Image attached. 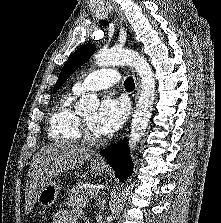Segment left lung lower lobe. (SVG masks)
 <instances>
[{"mask_svg": "<svg viewBox=\"0 0 221 223\" xmlns=\"http://www.w3.org/2000/svg\"><path fill=\"white\" fill-rule=\"evenodd\" d=\"M100 154L108 158L107 162L114 169L115 175L121 182H124L130 176L133 165L126 139L100 151Z\"/></svg>", "mask_w": 221, "mask_h": 223, "instance_id": "obj_1", "label": "left lung lower lobe"}]
</instances>
